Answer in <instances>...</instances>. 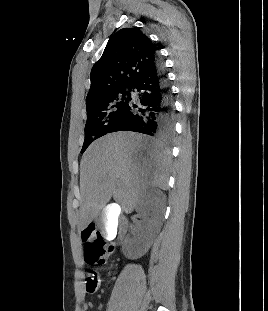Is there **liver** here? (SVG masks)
<instances>
[{"label":"liver","mask_w":268,"mask_h":311,"mask_svg":"<svg viewBox=\"0 0 268 311\" xmlns=\"http://www.w3.org/2000/svg\"><path fill=\"white\" fill-rule=\"evenodd\" d=\"M169 153L159 144L148 145L133 132L107 134L93 142L80 165L79 229L101 213L113 199L116 212L131 213L150 187L168 188Z\"/></svg>","instance_id":"1"}]
</instances>
